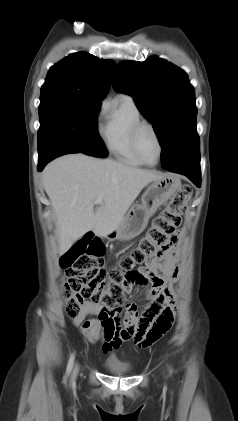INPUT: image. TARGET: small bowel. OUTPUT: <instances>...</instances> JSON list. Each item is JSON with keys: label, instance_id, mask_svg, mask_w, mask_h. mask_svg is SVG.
I'll list each match as a JSON object with an SVG mask.
<instances>
[{"label": "small bowel", "instance_id": "small-bowel-1", "mask_svg": "<svg viewBox=\"0 0 238 421\" xmlns=\"http://www.w3.org/2000/svg\"><path fill=\"white\" fill-rule=\"evenodd\" d=\"M180 250L177 236L168 249L160 256L131 273L134 287H143L149 305L143 312L135 303L125 306V316L120 318L116 313L111 325L99 319H86L89 315H98L101 307L92 302H85L81 313L73 319L74 326L92 343L101 341L104 352L118 349L122 342L133 339L140 347L146 343L147 335L169 328L173 321L177 300L176 283L179 278ZM132 288V289H133Z\"/></svg>", "mask_w": 238, "mask_h": 421}]
</instances>
